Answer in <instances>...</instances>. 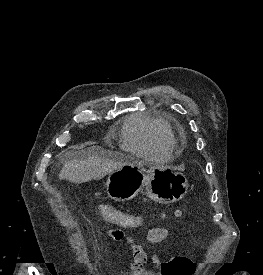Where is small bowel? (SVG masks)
<instances>
[{
  "instance_id": "1",
  "label": "small bowel",
  "mask_w": 263,
  "mask_h": 275,
  "mask_svg": "<svg viewBox=\"0 0 263 275\" xmlns=\"http://www.w3.org/2000/svg\"><path fill=\"white\" fill-rule=\"evenodd\" d=\"M116 230L108 231L109 236L115 240H126L131 244L132 249V263L131 270L133 275H143L144 266L150 257L153 265L160 269L162 275H166L167 264L170 261H164L151 250L145 249L141 244L136 243L131 237L126 236L124 233L121 237H115ZM168 230L166 228H152L145 233V239L149 243H159L168 236ZM194 272V265L185 273V275H192Z\"/></svg>"
}]
</instances>
